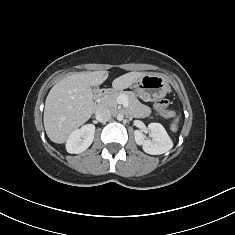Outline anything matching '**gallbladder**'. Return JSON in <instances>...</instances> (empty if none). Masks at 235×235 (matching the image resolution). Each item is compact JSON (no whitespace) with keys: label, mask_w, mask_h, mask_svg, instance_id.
Listing matches in <instances>:
<instances>
[{"label":"gallbladder","mask_w":235,"mask_h":235,"mask_svg":"<svg viewBox=\"0 0 235 235\" xmlns=\"http://www.w3.org/2000/svg\"><path fill=\"white\" fill-rule=\"evenodd\" d=\"M92 89L95 90V89H96V86H92Z\"/></svg>","instance_id":"gallbladder-1"}]
</instances>
